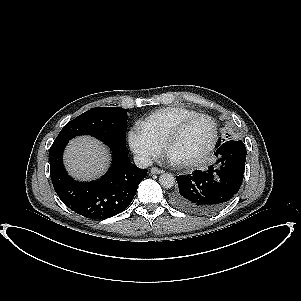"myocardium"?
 I'll return each mask as SVG.
<instances>
[{"label": "myocardium", "instance_id": "f54148a6", "mask_svg": "<svg viewBox=\"0 0 301 301\" xmlns=\"http://www.w3.org/2000/svg\"><path fill=\"white\" fill-rule=\"evenodd\" d=\"M199 119H204V120H207V121L210 122V124L212 126V137H211V140H210V143H209L207 149L205 150V152L201 156H199L195 160L188 161V162H185L183 164L187 168L200 167V166H203L204 164H206L209 161L210 156H211L212 152L214 151V149L216 147L217 139H218V129H217V124H216L215 120L209 115L198 113L194 116H191V117L185 119L180 124H178L168 134V136L166 137V139L164 141V149L168 153L172 143L183 134V132L186 130V128L191 123H193L194 121L199 120Z\"/></svg>", "mask_w": 301, "mask_h": 301}]
</instances>
